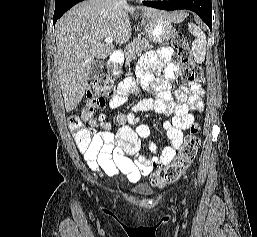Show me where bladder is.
<instances>
[{"label":"bladder","mask_w":257,"mask_h":237,"mask_svg":"<svg viewBox=\"0 0 257 237\" xmlns=\"http://www.w3.org/2000/svg\"><path fill=\"white\" fill-rule=\"evenodd\" d=\"M136 194L144 197L153 195L154 190L146 184L137 185L135 187Z\"/></svg>","instance_id":"bladder-1"}]
</instances>
